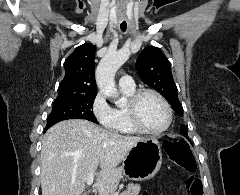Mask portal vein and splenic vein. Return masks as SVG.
<instances>
[{
	"instance_id": "obj_1",
	"label": "portal vein and splenic vein",
	"mask_w": 240,
	"mask_h": 195,
	"mask_svg": "<svg viewBox=\"0 0 240 195\" xmlns=\"http://www.w3.org/2000/svg\"><path fill=\"white\" fill-rule=\"evenodd\" d=\"M86 183L87 185H91V183H93V177H90V179H87Z\"/></svg>"
}]
</instances>
